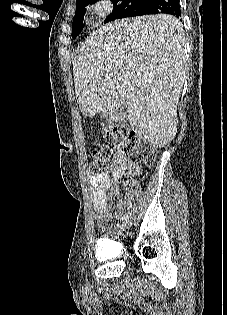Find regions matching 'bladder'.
<instances>
[{
  "instance_id": "1",
  "label": "bladder",
  "mask_w": 227,
  "mask_h": 315,
  "mask_svg": "<svg viewBox=\"0 0 227 315\" xmlns=\"http://www.w3.org/2000/svg\"><path fill=\"white\" fill-rule=\"evenodd\" d=\"M112 247V243L105 242L104 240L99 241L95 247V257L100 260L111 259L113 251L109 249Z\"/></svg>"
}]
</instances>
